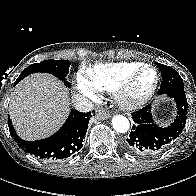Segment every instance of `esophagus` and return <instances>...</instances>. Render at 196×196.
I'll list each match as a JSON object with an SVG mask.
<instances>
[{
	"instance_id": "esophagus-1",
	"label": "esophagus",
	"mask_w": 196,
	"mask_h": 196,
	"mask_svg": "<svg viewBox=\"0 0 196 196\" xmlns=\"http://www.w3.org/2000/svg\"><path fill=\"white\" fill-rule=\"evenodd\" d=\"M110 116H111V113L109 111H106L104 109L97 110V114H96L97 119L102 120Z\"/></svg>"
}]
</instances>
